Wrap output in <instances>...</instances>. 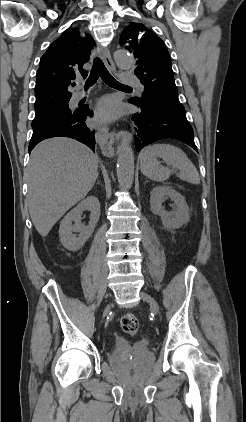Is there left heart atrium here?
Here are the masks:
<instances>
[{
	"mask_svg": "<svg viewBox=\"0 0 246 422\" xmlns=\"http://www.w3.org/2000/svg\"><path fill=\"white\" fill-rule=\"evenodd\" d=\"M118 103L110 97L100 100L96 107V116L99 121H109L115 119L119 114Z\"/></svg>",
	"mask_w": 246,
	"mask_h": 422,
	"instance_id": "left-heart-atrium-1",
	"label": "left heart atrium"
}]
</instances>
